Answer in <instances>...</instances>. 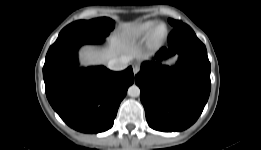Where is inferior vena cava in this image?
Here are the masks:
<instances>
[{
	"label": "inferior vena cava",
	"instance_id": "1",
	"mask_svg": "<svg viewBox=\"0 0 261 150\" xmlns=\"http://www.w3.org/2000/svg\"><path fill=\"white\" fill-rule=\"evenodd\" d=\"M130 58L128 56H121L109 60L108 67L114 71H121L127 68Z\"/></svg>",
	"mask_w": 261,
	"mask_h": 150
}]
</instances>
